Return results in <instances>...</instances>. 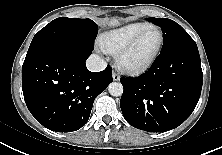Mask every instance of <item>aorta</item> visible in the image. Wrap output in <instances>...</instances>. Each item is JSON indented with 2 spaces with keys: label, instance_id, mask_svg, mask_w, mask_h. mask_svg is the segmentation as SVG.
I'll use <instances>...</instances> for the list:
<instances>
[{
  "label": "aorta",
  "instance_id": "aorta-1",
  "mask_svg": "<svg viewBox=\"0 0 222 155\" xmlns=\"http://www.w3.org/2000/svg\"><path fill=\"white\" fill-rule=\"evenodd\" d=\"M110 95L118 97L123 94V85L119 82H112L108 86Z\"/></svg>",
  "mask_w": 222,
  "mask_h": 155
}]
</instances>
